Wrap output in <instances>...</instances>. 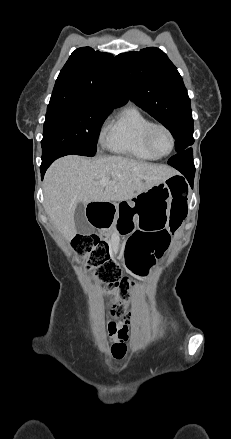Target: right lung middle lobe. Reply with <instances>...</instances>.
<instances>
[{
    "instance_id": "dd1d6c3e",
    "label": "right lung middle lobe",
    "mask_w": 231,
    "mask_h": 439,
    "mask_svg": "<svg viewBox=\"0 0 231 439\" xmlns=\"http://www.w3.org/2000/svg\"><path fill=\"white\" fill-rule=\"evenodd\" d=\"M113 109L88 103L48 106L42 160L68 154L94 156L100 128Z\"/></svg>"
}]
</instances>
